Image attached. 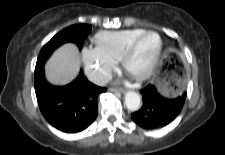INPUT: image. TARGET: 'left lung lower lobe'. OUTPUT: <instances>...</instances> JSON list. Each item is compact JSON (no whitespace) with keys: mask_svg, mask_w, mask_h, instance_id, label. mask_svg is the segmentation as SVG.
<instances>
[{"mask_svg":"<svg viewBox=\"0 0 225 155\" xmlns=\"http://www.w3.org/2000/svg\"><path fill=\"white\" fill-rule=\"evenodd\" d=\"M141 94L143 106L132 114V119L144 129H154L169 124L181 112L186 99L185 92L173 99L165 98L152 85L142 89Z\"/></svg>","mask_w":225,"mask_h":155,"instance_id":"1","label":"left lung lower lobe"}]
</instances>
